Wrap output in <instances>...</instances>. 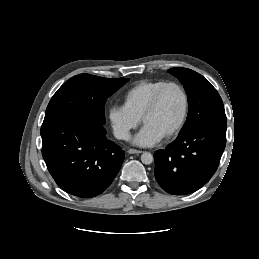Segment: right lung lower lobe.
<instances>
[{"mask_svg":"<svg viewBox=\"0 0 259 259\" xmlns=\"http://www.w3.org/2000/svg\"><path fill=\"white\" fill-rule=\"evenodd\" d=\"M42 156L57 185L69 194L91 198L114 180L124 151L106 138L104 126L81 115L43 123Z\"/></svg>","mask_w":259,"mask_h":259,"instance_id":"right-lung-lower-lobe-1","label":"right lung lower lobe"}]
</instances>
